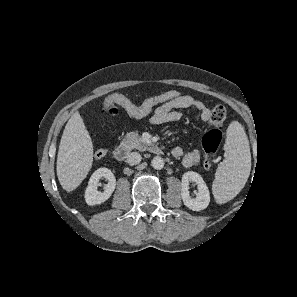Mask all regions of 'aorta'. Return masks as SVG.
Wrapping results in <instances>:
<instances>
[{
  "mask_svg": "<svg viewBox=\"0 0 297 297\" xmlns=\"http://www.w3.org/2000/svg\"><path fill=\"white\" fill-rule=\"evenodd\" d=\"M151 165L154 169L160 170L164 167V160L161 157L156 156L152 159Z\"/></svg>",
  "mask_w": 297,
  "mask_h": 297,
  "instance_id": "1",
  "label": "aorta"
}]
</instances>
